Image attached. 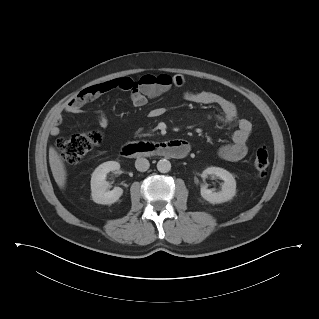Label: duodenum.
Listing matches in <instances>:
<instances>
[{
	"label": "duodenum",
	"mask_w": 319,
	"mask_h": 319,
	"mask_svg": "<svg viewBox=\"0 0 319 319\" xmlns=\"http://www.w3.org/2000/svg\"><path fill=\"white\" fill-rule=\"evenodd\" d=\"M189 152V144L180 139L159 143L134 142L124 146L120 154L124 157L160 156L170 159H183Z\"/></svg>",
	"instance_id": "410a0bca"
}]
</instances>
